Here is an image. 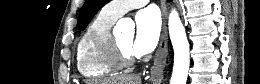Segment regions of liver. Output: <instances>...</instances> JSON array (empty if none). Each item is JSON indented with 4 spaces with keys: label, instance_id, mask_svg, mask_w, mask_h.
I'll return each mask as SVG.
<instances>
[{
    "label": "liver",
    "instance_id": "1",
    "mask_svg": "<svg viewBox=\"0 0 260 84\" xmlns=\"http://www.w3.org/2000/svg\"><path fill=\"white\" fill-rule=\"evenodd\" d=\"M86 84H141V77L139 75H121L107 79H101L92 83L86 81Z\"/></svg>",
    "mask_w": 260,
    "mask_h": 84
}]
</instances>
